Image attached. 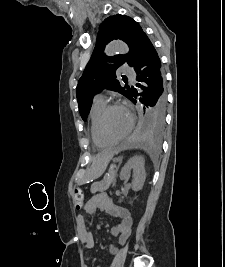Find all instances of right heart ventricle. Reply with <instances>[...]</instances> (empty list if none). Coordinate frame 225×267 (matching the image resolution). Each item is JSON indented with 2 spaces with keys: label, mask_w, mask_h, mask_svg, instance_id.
<instances>
[{
  "label": "right heart ventricle",
  "mask_w": 225,
  "mask_h": 267,
  "mask_svg": "<svg viewBox=\"0 0 225 267\" xmlns=\"http://www.w3.org/2000/svg\"><path fill=\"white\" fill-rule=\"evenodd\" d=\"M104 107H105L104 101L94 100L89 113V135L93 145L97 148H108L113 146V144L105 141L100 136L97 127L99 115Z\"/></svg>",
  "instance_id": "1"
}]
</instances>
